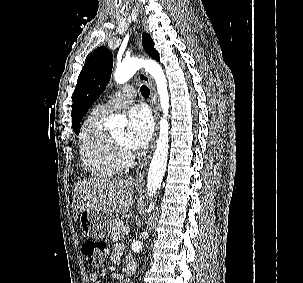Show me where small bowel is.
I'll use <instances>...</instances> for the list:
<instances>
[{
  "label": "small bowel",
  "mask_w": 303,
  "mask_h": 283,
  "mask_svg": "<svg viewBox=\"0 0 303 283\" xmlns=\"http://www.w3.org/2000/svg\"><path fill=\"white\" fill-rule=\"evenodd\" d=\"M121 258H122V247L117 246L114 252L112 253L111 260L113 262H119ZM89 279L91 283H97L98 275L96 273H91Z\"/></svg>",
  "instance_id": "c3829d8e"
}]
</instances>
